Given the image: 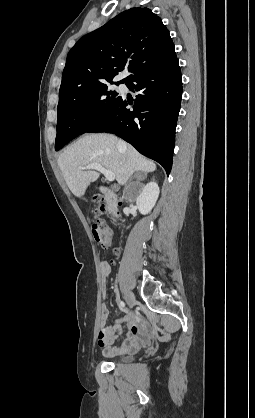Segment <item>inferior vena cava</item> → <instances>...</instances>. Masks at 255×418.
<instances>
[{
  "label": "inferior vena cava",
  "instance_id": "obj_1",
  "mask_svg": "<svg viewBox=\"0 0 255 418\" xmlns=\"http://www.w3.org/2000/svg\"><path fill=\"white\" fill-rule=\"evenodd\" d=\"M118 146L120 147V148H123V147H125V143L123 142V141H119L118 142Z\"/></svg>",
  "mask_w": 255,
  "mask_h": 418
}]
</instances>
